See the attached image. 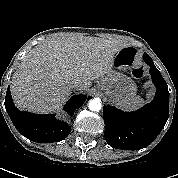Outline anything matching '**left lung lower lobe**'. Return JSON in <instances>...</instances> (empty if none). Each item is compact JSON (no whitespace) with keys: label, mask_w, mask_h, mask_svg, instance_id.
I'll return each mask as SVG.
<instances>
[{"label":"left lung lower lobe","mask_w":178,"mask_h":178,"mask_svg":"<svg viewBox=\"0 0 178 178\" xmlns=\"http://www.w3.org/2000/svg\"><path fill=\"white\" fill-rule=\"evenodd\" d=\"M143 59L150 66L152 81L157 88L153 101L131 113L106 105L103 109L106 126L104 137L116 149L138 150L147 147L164 128L169 116L167 84L151 57L145 53Z\"/></svg>","instance_id":"left-lung-lower-lobe-1"}]
</instances>
